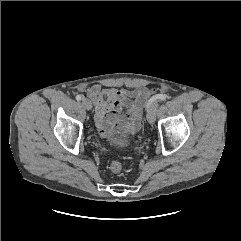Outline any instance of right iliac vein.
Listing matches in <instances>:
<instances>
[{
    "label": "right iliac vein",
    "mask_w": 241,
    "mask_h": 241,
    "mask_svg": "<svg viewBox=\"0 0 241 241\" xmlns=\"http://www.w3.org/2000/svg\"><path fill=\"white\" fill-rule=\"evenodd\" d=\"M82 104H83V106L85 107V109L91 110V108H92V103H91V101H90L89 99L83 98V99H82Z\"/></svg>",
    "instance_id": "right-iliac-vein-1"
}]
</instances>
